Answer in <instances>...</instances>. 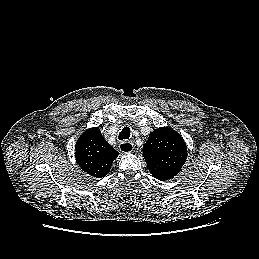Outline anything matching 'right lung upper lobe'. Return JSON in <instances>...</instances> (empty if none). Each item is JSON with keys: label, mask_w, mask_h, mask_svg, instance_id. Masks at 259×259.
Masks as SVG:
<instances>
[{"label": "right lung upper lobe", "mask_w": 259, "mask_h": 259, "mask_svg": "<svg viewBox=\"0 0 259 259\" xmlns=\"http://www.w3.org/2000/svg\"><path fill=\"white\" fill-rule=\"evenodd\" d=\"M75 154L77 163L84 172L102 178L109 173L119 153L104 139L100 129L95 127L86 130L79 137Z\"/></svg>", "instance_id": "obj_1"}]
</instances>
